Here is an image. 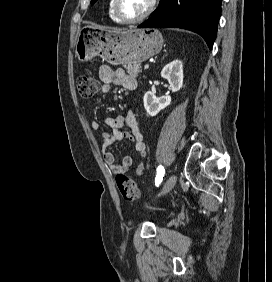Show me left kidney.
Returning a JSON list of instances; mask_svg holds the SVG:
<instances>
[{"label": "left kidney", "instance_id": "5707ae66", "mask_svg": "<svg viewBox=\"0 0 272 282\" xmlns=\"http://www.w3.org/2000/svg\"><path fill=\"white\" fill-rule=\"evenodd\" d=\"M161 77L166 79L172 92H177L183 85V65L180 60H174L161 71ZM144 107L149 116H156L161 110L165 109L171 103V96L165 95L162 97H156V95L148 91L145 93Z\"/></svg>", "mask_w": 272, "mask_h": 282}]
</instances>
